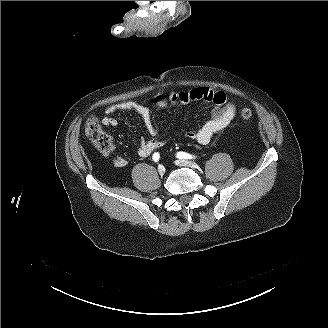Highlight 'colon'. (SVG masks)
<instances>
[{
  "instance_id": "1",
  "label": "colon",
  "mask_w": 328,
  "mask_h": 328,
  "mask_svg": "<svg viewBox=\"0 0 328 328\" xmlns=\"http://www.w3.org/2000/svg\"><path fill=\"white\" fill-rule=\"evenodd\" d=\"M163 99V97H155L153 101L159 103L163 101ZM240 116L243 120H249L252 118L253 113L249 108H242L240 111ZM85 132L86 135L92 140L95 147L102 153H107L112 150V138L101 129L97 118L90 117L87 120Z\"/></svg>"
}]
</instances>
